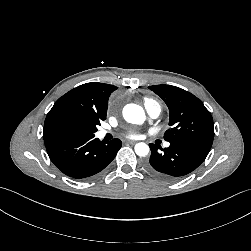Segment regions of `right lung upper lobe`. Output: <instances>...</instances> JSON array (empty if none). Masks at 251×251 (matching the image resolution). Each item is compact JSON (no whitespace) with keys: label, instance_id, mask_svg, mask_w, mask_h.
Returning a JSON list of instances; mask_svg holds the SVG:
<instances>
[{"label":"right lung upper lobe","instance_id":"cb5924a9","mask_svg":"<svg viewBox=\"0 0 251 251\" xmlns=\"http://www.w3.org/2000/svg\"><path fill=\"white\" fill-rule=\"evenodd\" d=\"M116 89V86L110 84L86 83L59 98L51 110L61 106H72L106 118L109 96ZM44 141L45 145L49 143Z\"/></svg>","mask_w":251,"mask_h":251}]
</instances>
